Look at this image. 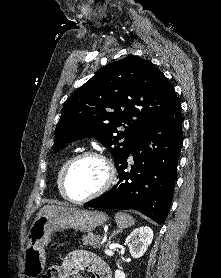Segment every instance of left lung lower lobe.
Wrapping results in <instances>:
<instances>
[{
	"label": "left lung lower lobe",
	"mask_w": 221,
	"mask_h": 278,
	"mask_svg": "<svg viewBox=\"0 0 221 278\" xmlns=\"http://www.w3.org/2000/svg\"><path fill=\"white\" fill-rule=\"evenodd\" d=\"M183 142L182 115L177 100L171 109L142 133L116 165L117 184L85 206L134 209L164 223L173 197L177 163ZM132 155L134 163L128 166Z\"/></svg>",
	"instance_id": "0a47b994"
}]
</instances>
